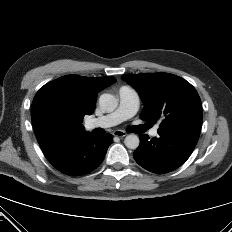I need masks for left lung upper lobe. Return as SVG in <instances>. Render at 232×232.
<instances>
[{"label":"left lung upper lobe","instance_id":"left-lung-upper-lobe-1","mask_svg":"<svg viewBox=\"0 0 232 232\" xmlns=\"http://www.w3.org/2000/svg\"><path fill=\"white\" fill-rule=\"evenodd\" d=\"M122 78L134 87L145 103L141 119L162 122L158 130L201 129L203 114L195 88L183 78L169 73L127 74Z\"/></svg>","mask_w":232,"mask_h":232}]
</instances>
